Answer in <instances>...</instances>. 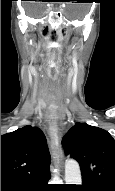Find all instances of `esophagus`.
Segmentation results:
<instances>
[{"mask_svg":"<svg viewBox=\"0 0 115 191\" xmlns=\"http://www.w3.org/2000/svg\"><path fill=\"white\" fill-rule=\"evenodd\" d=\"M51 138L55 144L54 146V156L56 164L61 167L62 166V149L60 145V136L57 131L51 132Z\"/></svg>","mask_w":115,"mask_h":191,"instance_id":"1","label":"esophagus"}]
</instances>
